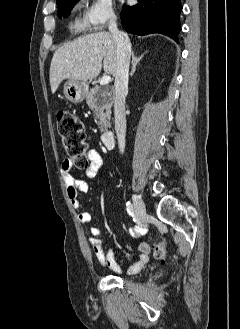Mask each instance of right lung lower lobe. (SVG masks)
<instances>
[{"label": "right lung lower lobe", "instance_id": "1", "mask_svg": "<svg viewBox=\"0 0 240 329\" xmlns=\"http://www.w3.org/2000/svg\"><path fill=\"white\" fill-rule=\"evenodd\" d=\"M138 4L124 6L121 13L123 28L133 34L162 33L178 42L181 30V0H137Z\"/></svg>", "mask_w": 240, "mask_h": 329}]
</instances>
